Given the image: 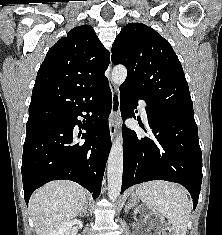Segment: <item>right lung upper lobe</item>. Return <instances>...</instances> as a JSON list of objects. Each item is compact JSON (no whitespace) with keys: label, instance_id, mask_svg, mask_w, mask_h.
Masks as SVG:
<instances>
[{"label":"right lung upper lobe","instance_id":"obj_1","mask_svg":"<svg viewBox=\"0 0 222 235\" xmlns=\"http://www.w3.org/2000/svg\"><path fill=\"white\" fill-rule=\"evenodd\" d=\"M110 54L90 25L70 30L51 47L42 62L32 92L28 122L47 121L53 110L52 101L43 95L62 99L69 94L93 86L103 80Z\"/></svg>","mask_w":222,"mask_h":235}]
</instances>
